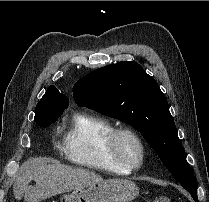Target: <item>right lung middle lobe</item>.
<instances>
[{
  "label": "right lung middle lobe",
  "instance_id": "obj_1",
  "mask_svg": "<svg viewBox=\"0 0 209 202\" xmlns=\"http://www.w3.org/2000/svg\"><path fill=\"white\" fill-rule=\"evenodd\" d=\"M64 109L66 108L53 107L47 102L38 103L35 110V121L39 126L47 127L59 118Z\"/></svg>",
  "mask_w": 209,
  "mask_h": 202
}]
</instances>
